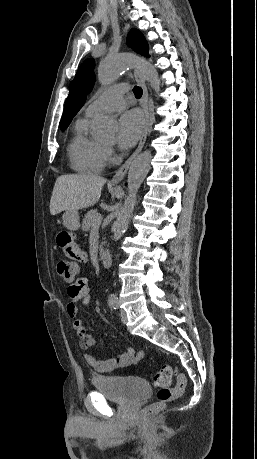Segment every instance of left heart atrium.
<instances>
[{
  "mask_svg": "<svg viewBox=\"0 0 257 459\" xmlns=\"http://www.w3.org/2000/svg\"><path fill=\"white\" fill-rule=\"evenodd\" d=\"M144 128L142 115L131 110L124 113L118 122L117 143L121 149H129L138 141Z\"/></svg>",
  "mask_w": 257,
  "mask_h": 459,
  "instance_id": "obj_1",
  "label": "left heart atrium"
}]
</instances>
